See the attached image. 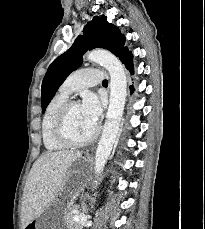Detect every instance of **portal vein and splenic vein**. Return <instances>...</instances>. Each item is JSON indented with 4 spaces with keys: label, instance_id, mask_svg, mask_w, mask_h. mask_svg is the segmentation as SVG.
<instances>
[{
    "label": "portal vein and splenic vein",
    "instance_id": "obj_1",
    "mask_svg": "<svg viewBox=\"0 0 205 229\" xmlns=\"http://www.w3.org/2000/svg\"><path fill=\"white\" fill-rule=\"evenodd\" d=\"M73 219H74V221H79V220H80V218H79L78 215H75V216L73 217Z\"/></svg>",
    "mask_w": 205,
    "mask_h": 229
}]
</instances>
